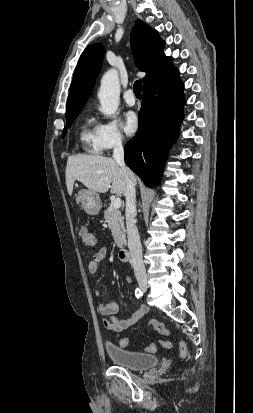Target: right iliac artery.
Instances as JSON below:
<instances>
[{"instance_id": "82829eb1", "label": "right iliac artery", "mask_w": 253, "mask_h": 413, "mask_svg": "<svg viewBox=\"0 0 253 413\" xmlns=\"http://www.w3.org/2000/svg\"><path fill=\"white\" fill-rule=\"evenodd\" d=\"M135 295H136L137 298H140L143 295V293L139 288H136L135 289Z\"/></svg>"}]
</instances>
